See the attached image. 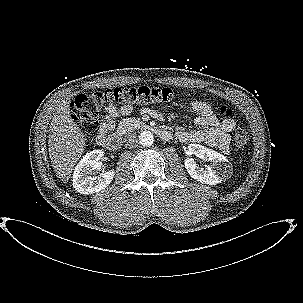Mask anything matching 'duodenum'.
Here are the masks:
<instances>
[{
  "label": "duodenum",
  "instance_id": "1",
  "mask_svg": "<svg viewBox=\"0 0 303 303\" xmlns=\"http://www.w3.org/2000/svg\"><path fill=\"white\" fill-rule=\"evenodd\" d=\"M155 131L158 133V135L162 139H169L171 137L170 133L163 129H155ZM99 142L106 147L110 151H117L121 148L122 142L121 139L117 136L111 135V136H103L99 137Z\"/></svg>",
  "mask_w": 303,
  "mask_h": 303
}]
</instances>
